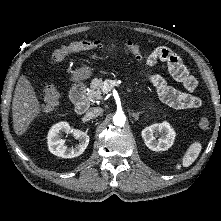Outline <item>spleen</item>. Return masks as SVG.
<instances>
[{"instance_id":"obj_1","label":"spleen","mask_w":221,"mask_h":221,"mask_svg":"<svg viewBox=\"0 0 221 221\" xmlns=\"http://www.w3.org/2000/svg\"><path fill=\"white\" fill-rule=\"evenodd\" d=\"M201 144L199 142H195L194 144H192V146L190 147V149L185 153L183 159H182V166L184 167H188L190 166L198 157L200 151H201ZM177 169L181 168L180 164L176 165Z\"/></svg>"}]
</instances>
